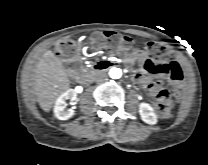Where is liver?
Returning a JSON list of instances; mask_svg holds the SVG:
<instances>
[{"instance_id": "liver-1", "label": "liver", "mask_w": 208, "mask_h": 165, "mask_svg": "<svg viewBox=\"0 0 208 165\" xmlns=\"http://www.w3.org/2000/svg\"><path fill=\"white\" fill-rule=\"evenodd\" d=\"M33 79L37 101L45 112L51 110L58 96L70 86L61 60L51 50H47L40 58Z\"/></svg>"}]
</instances>
